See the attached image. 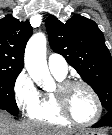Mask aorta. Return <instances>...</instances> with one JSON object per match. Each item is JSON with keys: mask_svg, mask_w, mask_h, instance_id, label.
<instances>
[{"mask_svg": "<svg viewBox=\"0 0 112 135\" xmlns=\"http://www.w3.org/2000/svg\"><path fill=\"white\" fill-rule=\"evenodd\" d=\"M25 67L33 81L40 87L54 83L46 60V37L43 33L34 34L27 43L24 57Z\"/></svg>", "mask_w": 112, "mask_h": 135, "instance_id": "obj_1", "label": "aorta"}]
</instances>
